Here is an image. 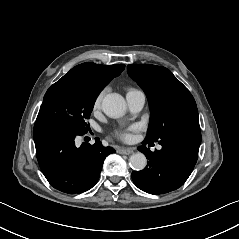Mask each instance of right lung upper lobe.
<instances>
[{"mask_svg": "<svg viewBox=\"0 0 239 239\" xmlns=\"http://www.w3.org/2000/svg\"><path fill=\"white\" fill-rule=\"evenodd\" d=\"M125 65H99L92 62L82 63L72 68L66 76L83 86L103 89L114 77L120 75Z\"/></svg>", "mask_w": 239, "mask_h": 239, "instance_id": "obj_1", "label": "right lung upper lobe"}]
</instances>
